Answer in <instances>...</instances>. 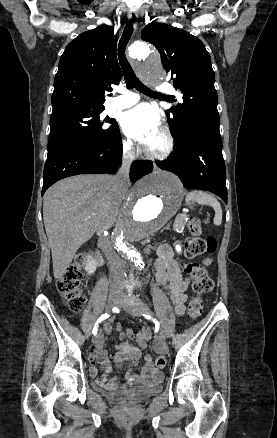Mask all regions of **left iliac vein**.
<instances>
[{
    "label": "left iliac vein",
    "instance_id": "obj_1",
    "mask_svg": "<svg viewBox=\"0 0 277 438\" xmlns=\"http://www.w3.org/2000/svg\"><path fill=\"white\" fill-rule=\"evenodd\" d=\"M136 307H132L130 306L128 303H126L125 299L122 300V302L120 303V306L128 313L132 314V315H136V316H140L141 314H145V315H151L153 316L152 311L150 310V308L144 304L142 301L140 300H136ZM158 337L160 339L161 342H165L166 340V334L163 328L159 329V333H158Z\"/></svg>",
    "mask_w": 277,
    "mask_h": 438
}]
</instances>
